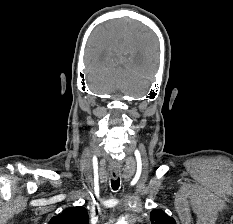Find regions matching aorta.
<instances>
[{"mask_svg":"<svg viewBox=\"0 0 233 224\" xmlns=\"http://www.w3.org/2000/svg\"><path fill=\"white\" fill-rule=\"evenodd\" d=\"M116 224H127V222L125 220H119Z\"/></svg>","mask_w":233,"mask_h":224,"instance_id":"obj_1","label":"aorta"}]
</instances>
